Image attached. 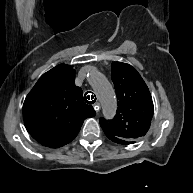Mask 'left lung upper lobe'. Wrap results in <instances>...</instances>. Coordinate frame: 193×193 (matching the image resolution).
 <instances>
[{"mask_svg":"<svg viewBox=\"0 0 193 193\" xmlns=\"http://www.w3.org/2000/svg\"><path fill=\"white\" fill-rule=\"evenodd\" d=\"M112 81L118 98V108L112 120L99 122L109 139L120 144H132L143 137L153 116V101L149 89L137 70L129 64L113 62Z\"/></svg>","mask_w":193,"mask_h":193,"instance_id":"left-lung-upper-lobe-1","label":"left lung upper lobe"}]
</instances>
